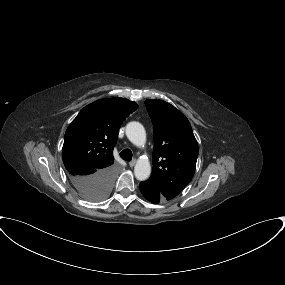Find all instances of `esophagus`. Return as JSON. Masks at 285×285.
<instances>
[{
  "label": "esophagus",
  "instance_id": "34e87169",
  "mask_svg": "<svg viewBox=\"0 0 285 285\" xmlns=\"http://www.w3.org/2000/svg\"><path fill=\"white\" fill-rule=\"evenodd\" d=\"M136 164V160L133 159L132 161L129 162V166L130 167H134V165Z\"/></svg>",
  "mask_w": 285,
  "mask_h": 285
}]
</instances>
